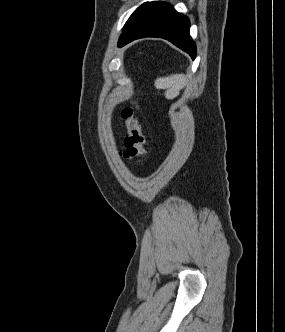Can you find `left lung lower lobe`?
I'll return each mask as SVG.
<instances>
[{
  "label": "left lung lower lobe",
  "mask_w": 285,
  "mask_h": 332,
  "mask_svg": "<svg viewBox=\"0 0 285 332\" xmlns=\"http://www.w3.org/2000/svg\"><path fill=\"white\" fill-rule=\"evenodd\" d=\"M189 19L176 12L165 2L149 3L123 30L118 46L143 37H160L169 40L180 49L196 56V46L189 34Z\"/></svg>",
  "instance_id": "1"
}]
</instances>
